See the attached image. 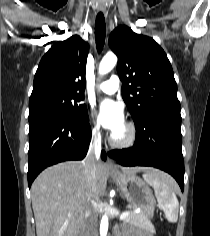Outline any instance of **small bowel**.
Listing matches in <instances>:
<instances>
[{
    "label": "small bowel",
    "mask_w": 210,
    "mask_h": 236,
    "mask_svg": "<svg viewBox=\"0 0 210 236\" xmlns=\"http://www.w3.org/2000/svg\"><path fill=\"white\" fill-rule=\"evenodd\" d=\"M118 236H120V235H118ZM122 236H152V235H150L149 233H146V232L137 233V232H133L129 229H126V230H124V233Z\"/></svg>",
    "instance_id": "small-bowel-1"
}]
</instances>
